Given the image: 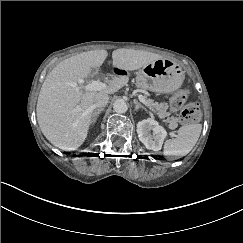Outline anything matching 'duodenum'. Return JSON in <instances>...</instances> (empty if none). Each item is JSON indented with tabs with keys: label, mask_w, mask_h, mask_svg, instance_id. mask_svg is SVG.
<instances>
[{
	"label": "duodenum",
	"mask_w": 243,
	"mask_h": 243,
	"mask_svg": "<svg viewBox=\"0 0 243 243\" xmlns=\"http://www.w3.org/2000/svg\"><path fill=\"white\" fill-rule=\"evenodd\" d=\"M113 72L119 77H124L129 74V71L124 66L121 65L114 66Z\"/></svg>",
	"instance_id": "duodenum-1"
}]
</instances>
